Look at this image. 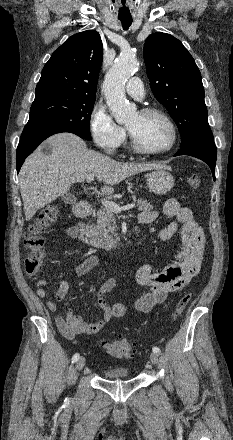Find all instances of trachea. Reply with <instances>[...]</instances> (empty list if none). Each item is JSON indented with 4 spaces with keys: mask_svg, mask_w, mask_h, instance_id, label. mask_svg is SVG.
Here are the masks:
<instances>
[{
    "mask_svg": "<svg viewBox=\"0 0 233 440\" xmlns=\"http://www.w3.org/2000/svg\"><path fill=\"white\" fill-rule=\"evenodd\" d=\"M123 29L127 30L129 26L132 24V19H120Z\"/></svg>",
    "mask_w": 233,
    "mask_h": 440,
    "instance_id": "obj_1",
    "label": "trachea"
}]
</instances>
